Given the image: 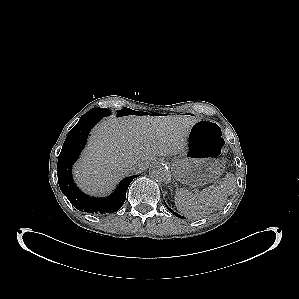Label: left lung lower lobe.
<instances>
[{
	"instance_id": "0a47b994",
	"label": "left lung lower lobe",
	"mask_w": 299,
	"mask_h": 299,
	"mask_svg": "<svg viewBox=\"0 0 299 299\" xmlns=\"http://www.w3.org/2000/svg\"><path fill=\"white\" fill-rule=\"evenodd\" d=\"M169 209V211L171 212V213H173L175 216H177V217H179V218H182V219H184V217H182V216H180L179 214H177L176 212H173V210L172 209H170V208H168Z\"/></svg>"
}]
</instances>
